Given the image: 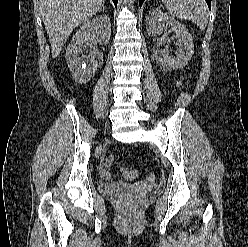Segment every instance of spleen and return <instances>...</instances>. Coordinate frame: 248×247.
<instances>
[{
	"instance_id": "obj_1",
	"label": "spleen",
	"mask_w": 248,
	"mask_h": 247,
	"mask_svg": "<svg viewBox=\"0 0 248 247\" xmlns=\"http://www.w3.org/2000/svg\"><path fill=\"white\" fill-rule=\"evenodd\" d=\"M168 12L179 19L191 20L204 30L208 23V7L205 0H162Z\"/></svg>"
}]
</instances>
